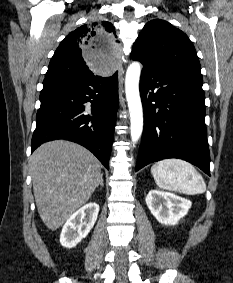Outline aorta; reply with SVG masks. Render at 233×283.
Wrapping results in <instances>:
<instances>
[{
    "label": "aorta",
    "instance_id": "1",
    "mask_svg": "<svg viewBox=\"0 0 233 283\" xmlns=\"http://www.w3.org/2000/svg\"><path fill=\"white\" fill-rule=\"evenodd\" d=\"M141 66L138 62L129 65L125 77V93L130 113V135L136 143L143 132V109L139 94Z\"/></svg>",
    "mask_w": 233,
    "mask_h": 283
}]
</instances>
